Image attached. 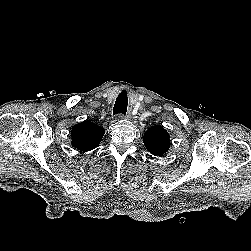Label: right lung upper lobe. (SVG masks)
Returning <instances> with one entry per match:
<instances>
[{
	"mask_svg": "<svg viewBox=\"0 0 251 251\" xmlns=\"http://www.w3.org/2000/svg\"><path fill=\"white\" fill-rule=\"evenodd\" d=\"M105 131L89 120L73 126L71 131L72 147L86 152L96 148L102 140Z\"/></svg>",
	"mask_w": 251,
	"mask_h": 251,
	"instance_id": "cb5924a9",
	"label": "right lung upper lobe"
}]
</instances>
